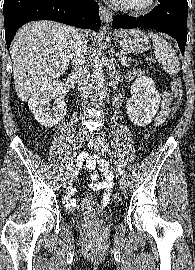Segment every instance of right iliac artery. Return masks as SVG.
Instances as JSON below:
<instances>
[{"label": "right iliac artery", "instance_id": "1", "mask_svg": "<svg viewBox=\"0 0 195 270\" xmlns=\"http://www.w3.org/2000/svg\"><path fill=\"white\" fill-rule=\"evenodd\" d=\"M73 162H74V159H73V157H72V158L70 159V161H69L68 168H71V167H72Z\"/></svg>", "mask_w": 195, "mask_h": 270}]
</instances>
